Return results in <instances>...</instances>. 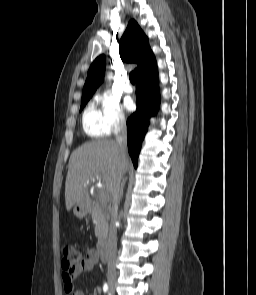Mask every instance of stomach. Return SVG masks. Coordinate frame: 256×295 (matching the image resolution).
<instances>
[{
  "label": "stomach",
  "mask_w": 256,
  "mask_h": 295,
  "mask_svg": "<svg viewBox=\"0 0 256 295\" xmlns=\"http://www.w3.org/2000/svg\"><path fill=\"white\" fill-rule=\"evenodd\" d=\"M73 213L77 218L82 219L87 215L88 209L84 203H78L74 206Z\"/></svg>",
  "instance_id": "1"
}]
</instances>
